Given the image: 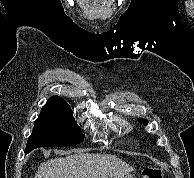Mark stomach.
Wrapping results in <instances>:
<instances>
[{
	"instance_id": "1",
	"label": "stomach",
	"mask_w": 194,
	"mask_h": 178,
	"mask_svg": "<svg viewBox=\"0 0 194 178\" xmlns=\"http://www.w3.org/2000/svg\"><path fill=\"white\" fill-rule=\"evenodd\" d=\"M113 178H135V177L128 173V174L117 175Z\"/></svg>"
}]
</instances>
